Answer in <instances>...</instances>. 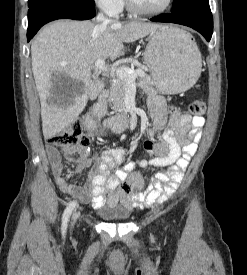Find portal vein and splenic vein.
<instances>
[{
  "label": "portal vein and splenic vein",
  "mask_w": 247,
  "mask_h": 275,
  "mask_svg": "<svg viewBox=\"0 0 247 275\" xmlns=\"http://www.w3.org/2000/svg\"><path fill=\"white\" fill-rule=\"evenodd\" d=\"M93 67L94 69L102 73H108L110 71V69L105 64V60H102V59H98L94 63ZM115 75L119 79L126 81L130 86L135 88V78L138 76H144L145 72L143 69L133 70V69H130L129 67L122 66L115 70Z\"/></svg>",
  "instance_id": "1"
}]
</instances>
